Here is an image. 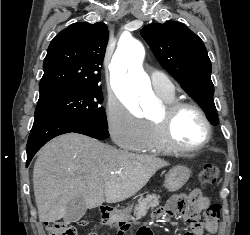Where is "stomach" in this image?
<instances>
[{
	"mask_svg": "<svg viewBox=\"0 0 250 235\" xmlns=\"http://www.w3.org/2000/svg\"><path fill=\"white\" fill-rule=\"evenodd\" d=\"M191 171L186 166L178 165L169 170L166 175L164 187L170 192L181 189L190 178ZM119 220L126 218V211L118 214Z\"/></svg>",
	"mask_w": 250,
	"mask_h": 235,
	"instance_id": "1",
	"label": "stomach"
}]
</instances>
